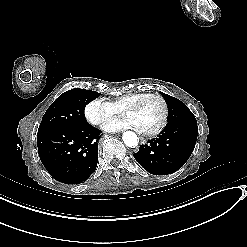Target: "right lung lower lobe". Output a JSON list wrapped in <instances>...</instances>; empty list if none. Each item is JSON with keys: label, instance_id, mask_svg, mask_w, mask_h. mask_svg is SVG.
<instances>
[{"label": "right lung lower lobe", "instance_id": "1", "mask_svg": "<svg viewBox=\"0 0 247 247\" xmlns=\"http://www.w3.org/2000/svg\"><path fill=\"white\" fill-rule=\"evenodd\" d=\"M99 133L100 130L89 124L38 132L40 160L55 180L65 184L83 183L97 166Z\"/></svg>", "mask_w": 247, "mask_h": 247}]
</instances>
